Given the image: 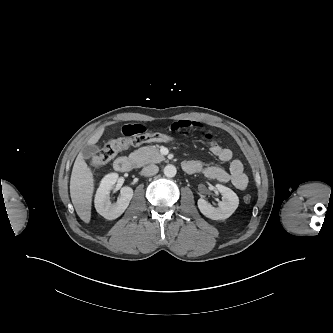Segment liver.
<instances>
[{
	"mask_svg": "<svg viewBox=\"0 0 333 333\" xmlns=\"http://www.w3.org/2000/svg\"><path fill=\"white\" fill-rule=\"evenodd\" d=\"M104 132L100 128L89 140L88 144L98 142ZM94 191V178L91 169L87 166L84 155L80 152L74 162L70 179V196L76 213L85 223L91 220L92 196Z\"/></svg>",
	"mask_w": 333,
	"mask_h": 333,
	"instance_id": "1",
	"label": "liver"
}]
</instances>
